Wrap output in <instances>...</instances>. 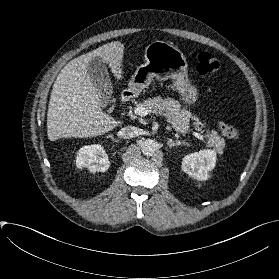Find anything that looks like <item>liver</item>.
Returning a JSON list of instances; mask_svg holds the SVG:
<instances>
[{
	"mask_svg": "<svg viewBox=\"0 0 279 279\" xmlns=\"http://www.w3.org/2000/svg\"><path fill=\"white\" fill-rule=\"evenodd\" d=\"M123 54V43L110 42L71 60L61 70L48 106L47 135L50 141L96 137L123 124L101 109L102 101L88 72L91 59L101 57L120 80Z\"/></svg>",
	"mask_w": 279,
	"mask_h": 279,
	"instance_id": "obj_1",
	"label": "liver"
}]
</instances>
